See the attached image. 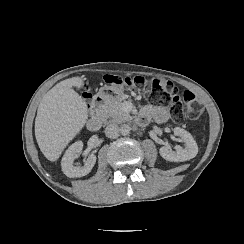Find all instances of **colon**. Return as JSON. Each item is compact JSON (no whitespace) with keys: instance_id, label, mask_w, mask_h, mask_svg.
Segmentation results:
<instances>
[{"instance_id":"5ec220e1","label":"colon","mask_w":244,"mask_h":244,"mask_svg":"<svg viewBox=\"0 0 244 244\" xmlns=\"http://www.w3.org/2000/svg\"><path fill=\"white\" fill-rule=\"evenodd\" d=\"M105 81L112 85H133L138 89H147L150 94L147 100L151 105L162 106L176 118H183V114L190 120L198 119L202 113L203 105L196 95L191 91H185L182 98L177 95V89L170 83L158 77L135 76L121 79L114 76H106ZM90 93L91 90H85ZM91 95L86 94L89 100Z\"/></svg>"}]
</instances>
